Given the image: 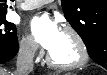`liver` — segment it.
<instances>
[{
  "mask_svg": "<svg viewBox=\"0 0 107 75\" xmlns=\"http://www.w3.org/2000/svg\"><path fill=\"white\" fill-rule=\"evenodd\" d=\"M8 72L6 70H4L3 68H1L0 70V75H8Z\"/></svg>",
  "mask_w": 107,
  "mask_h": 75,
  "instance_id": "liver-1",
  "label": "liver"
}]
</instances>
